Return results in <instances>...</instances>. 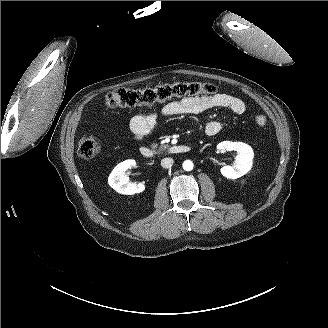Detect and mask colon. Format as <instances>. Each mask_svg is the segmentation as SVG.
Here are the masks:
<instances>
[{
    "label": "colon",
    "mask_w": 328,
    "mask_h": 328,
    "mask_svg": "<svg viewBox=\"0 0 328 328\" xmlns=\"http://www.w3.org/2000/svg\"><path fill=\"white\" fill-rule=\"evenodd\" d=\"M216 91L215 85L202 82H178L143 89L118 88L111 91L106 96V104L110 108L149 106L164 102L172 97L187 95L211 96L214 95ZM255 122L258 126L264 127L267 125V118L263 115H256ZM99 152L100 145L92 137L84 136L78 143V153L83 158L92 159L96 157Z\"/></svg>",
    "instance_id": "colon-1"
}]
</instances>
